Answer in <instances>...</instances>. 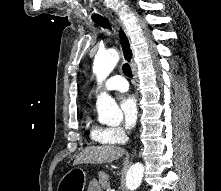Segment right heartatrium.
<instances>
[{
    "instance_id": "obj_1",
    "label": "right heart atrium",
    "mask_w": 221,
    "mask_h": 191,
    "mask_svg": "<svg viewBox=\"0 0 221 191\" xmlns=\"http://www.w3.org/2000/svg\"><path fill=\"white\" fill-rule=\"evenodd\" d=\"M106 134L113 143H123L127 139L125 131L120 127L106 128Z\"/></svg>"
}]
</instances>
